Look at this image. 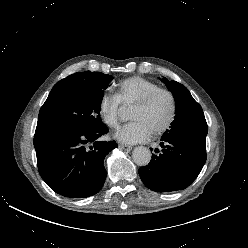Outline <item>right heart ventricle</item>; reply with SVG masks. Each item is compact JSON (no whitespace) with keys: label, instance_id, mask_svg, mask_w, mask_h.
I'll return each instance as SVG.
<instances>
[{"label":"right heart ventricle","instance_id":"1","mask_svg":"<svg viewBox=\"0 0 248 248\" xmlns=\"http://www.w3.org/2000/svg\"><path fill=\"white\" fill-rule=\"evenodd\" d=\"M159 88V85L148 79L134 76L120 81L116 86V96L121 105H134L149 92Z\"/></svg>","mask_w":248,"mask_h":248}]
</instances>
